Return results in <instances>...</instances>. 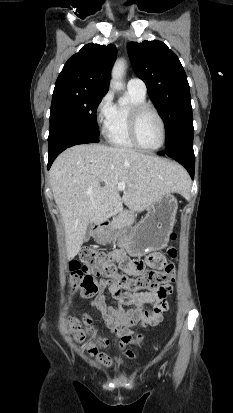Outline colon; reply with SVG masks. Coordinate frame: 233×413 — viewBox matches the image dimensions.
Returning a JSON list of instances; mask_svg holds the SVG:
<instances>
[{
    "mask_svg": "<svg viewBox=\"0 0 233 413\" xmlns=\"http://www.w3.org/2000/svg\"><path fill=\"white\" fill-rule=\"evenodd\" d=\"M176 239V234L171 235ZM171 258L177 257V249L169 246L167 250ZM71 277L81 293L92 296L99 290V280L115 283L120 289L129 292L140 290L155 291L174 279L175 266L172 263L163 262L159 268H145L137 277L126 276L120 273L118 266L111 254L92 248H85L79 254V259L70 263ZM71 332L75 340L86 341L94 332L91 320L84 316L71 325ZM108 344V340L100 338L88 346V352L94 356H101L100 349Z\"/></svg>",
    "mask_w": 233,
    "mask_h": 413,
    "instance_id": "colon-1",
    "label": "colon"
}]
</instances>
